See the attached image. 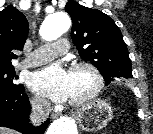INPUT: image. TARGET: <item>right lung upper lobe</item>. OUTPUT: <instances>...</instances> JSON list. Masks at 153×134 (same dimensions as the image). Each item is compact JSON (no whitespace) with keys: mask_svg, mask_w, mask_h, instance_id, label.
I'll return each instance as SVG.
<instances>
[{"mask_svg":"<svg viewBox=\"0 0 153 134\" xmlns=\"http://www.w3.org/2000/svg\"><path fill=\"white\" fill-rule=\"evenodd\" d=\"M28 35L26 17L12 5L0 11V68L11 67L14 50H23Z\"/></svg>","mask_w":153,"mask_h":134,"instance_id":"cb5924a9","label":"right lung upper lobe"}]
</instances>
